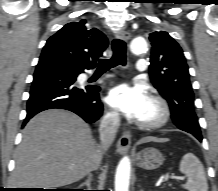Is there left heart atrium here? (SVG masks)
<instances>
[{
    "label": "left heart atrium",
    "instance_id": "39dd6f15",
    "mask_svg": "<svg viewBox=\"0 0 218 191\" xmlns=\"http://www.w3.org/2000/svg\"><path fill=\"white\" fill-rule=\"evenodd\" d=\"M150 101L144 85L120 84L112 88L107 103L128 117L139 119Z\"/></svg>",
    "mask_w": 218,
    "mask_h": 191
}]
</instances>
